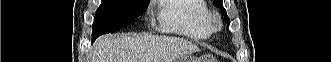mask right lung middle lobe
I'll return each instance as SVG.
<instances>
[{
    "mask_svg": "<svg viewBox=\"0 0 331 62\" xmlns=\"http://www.w3.org/2000/svg\"><path fill=\"white\" fill-rule=\"evenodd\" d=\"M146 0H102L92 25V40L129 25L148 8Z\"/></svg>",
    "mask_w": 331,
    "mask_h": 62,
    "instance_id": "obj_1",
    "label": "right lung middle lobe"
}]
</instances>
